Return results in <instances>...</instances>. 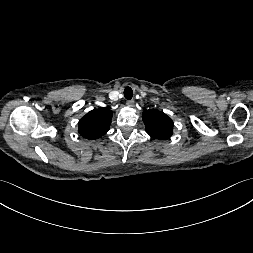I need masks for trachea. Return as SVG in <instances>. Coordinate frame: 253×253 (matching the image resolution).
<instances>
[{"label":"trachea","instance_id":"obj_1","mask_svg":"<svg viewBox=\"0 0 253 253\" xmlns=\"http://www.w3.org/2000/svg\"><path fill=\"white\" fill-rule=\"evenodd\" d=\"M124 97L128 100H130L133 97V90L131 87H126L124 89Z\"/></svg>","mask_w":253,"mask_h":253}]
</instances>
